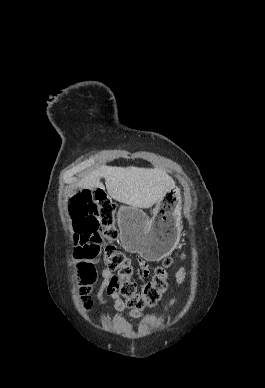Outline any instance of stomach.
<instances>
[{"mask_svg": "<svg viewBox=\"0 0 265 388\" xmlns=\"http://www.w3.org/2000/svg\"><path fill=\"white\" fill-rule=\"evenodd\" d=\"M118 226L123 248L140 254L148 261L169 255L181 233V197L178 188H171L157 201L154 216L149 219L140 209L121 206Z\"/></svg>", "mask_w": 265, "mask_h": 388, "instance_id": "0dacf381", "label": "stomach"}]
</instances>
